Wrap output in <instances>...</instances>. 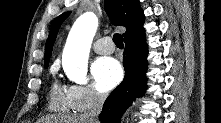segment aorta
<instances>
[{
  "instance_id": "762f6f07",
  "label": "aorta",
  "mask_w": 221,
  "mask_h": 123,
  "mask_svg": "<svg viewBox=\"0 0 221 123\" xmlns=\"http://www.w3.org/2000/svg\"><path fill=\"white\" fill-rule=\"evenodd\" d=\"M97 26L94 13L82 14L74 22L63 50V69L68 78L78 84L87 83L88 57Z\"/></svg>"
}]
</instances>
